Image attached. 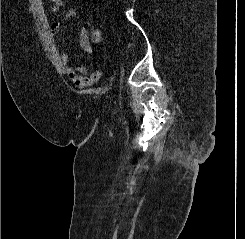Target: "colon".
<instances>
[{
  "label": "colon",
  "instance_id": "5ec220e1",
  "mask_svg": "<svg viewBox=\"0 0 245 239\" xmlns=\"http://www.w3.org/2000/svg\"><path fill=\"white\" fill-rule=\"evenodd\" d=\"M50 2H54L53 0H49Z\"/></svg>",
  "mask_w": 245,
  "mask_h": 239
}]
</instances>
